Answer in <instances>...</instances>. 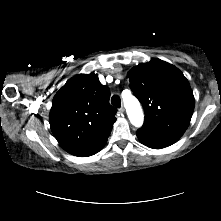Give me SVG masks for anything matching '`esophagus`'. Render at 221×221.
Listing matches in <instances>:
<instances>
[{
	"label": "esophagus",
	"instance_id": "obj_1",
	"mask_svg": "<svg viewBox=\"0 0 221 221\" xmlns=\"http://www.w3.org/2000/svg\"><path fill=\"white\" fill-rule=\"evenodd\" d=\"M124 111H125L124 107H123V106H121V108L119 109V113L123 114V113H124Z\"/></svg>",
	"mask_w": 221,
	"mask_h": 221
}]
</instances>
